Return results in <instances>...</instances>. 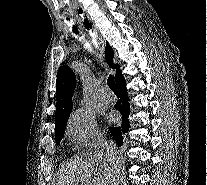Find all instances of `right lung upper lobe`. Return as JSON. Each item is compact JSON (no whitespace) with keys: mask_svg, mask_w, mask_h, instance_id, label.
Segmentation results:
<instances>
[{"mask_svg":"<svg viewBox=\"0 0 207 185\" xmlns=\"http://www.w3.org/2000/svg\"><path fill=\"white\" fill-rule=\"evenodd\" d=\"M113 50L107 43L105 49V58L110 67L116 69L115 81L122 78L121 71L119 70V65L113 63ZM76 86V77L69 66H63L59 69L57 73L56 82V128L65 126L67 120L70 116L72 110L71 95L73 94L74 88Z\"/></svg>","mask_w":207,"mask_h":185,"instance_id":"1","label":"right lung upper lobe"}]
</instances>
